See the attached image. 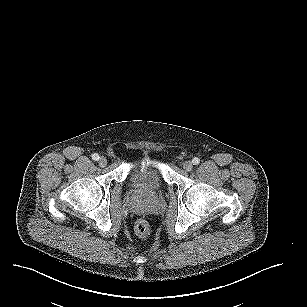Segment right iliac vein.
Segmentation results:
<instances>
[{
    "instance_id": "right-iliac-vein-1",
    "label": "right iliac vein",
    "mask_w": 307,
    "mask_h": 307,
    "mask_svg": "<svg viewBox=\"0 0 307 307\" xmlns=\"http://www.w3.org/2000/svg\"><path fill=\"white\" fill-rule=\"evenodd\" d=\"M107 165V159L105 157H101L99 160V166L105 167Z\"/></svg>"
}]
</instances>
